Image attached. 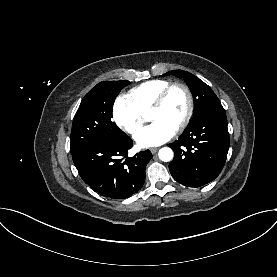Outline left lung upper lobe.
Segmentation results:
<instances>
[{
    "label": "left lung upper lobe",
    "instance_id": "left-lung-upper-lobe-1",
    "mask_svg": "<svg viewBox=\"0 0 277 277\" xmlns=\"http://www.w3.org/2000/svg\"><path fill=\"white\" fill-rule=\"evenodd\" d=\"M166 75H175L179 78L184 79V81L190 88L194 97L195 104L192 122L198 119L202 114H204L212 107L221 105L220 100L212 91V89L195 75L183 70H172L167 72L163 76Z\"/></svg>",
    "mask_w": 277,
    "mask_h": 277
}]
</instances>
